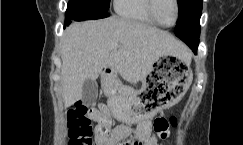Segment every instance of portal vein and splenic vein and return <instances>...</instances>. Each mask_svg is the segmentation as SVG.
Listing matches in <instances>:
<instances>
[{"mask_svg": "<svg viewBox=\"0 0 243 145\" xmlns=\"http://www.w3.org/2000/svg\"><path fill=\"white\" fill-rule=\"evenodd\" d=\"M112 47H113V48H116V47H117V44H113Z\"/></svg>", "mask_w": 243, "mask_h": 145, "instance_id": "1", "label": "portal vein and splenic vein"}]
</instances>
